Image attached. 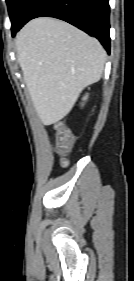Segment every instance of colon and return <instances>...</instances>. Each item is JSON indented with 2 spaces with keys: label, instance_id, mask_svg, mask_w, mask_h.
<instances>
[{
  "label": "colon",
  "instance_id": "obj_1",
  "mask_svg": "<svg viewBox=\"0 0 134 281\" xmlns=\"http://www.w3.org/2000/svg\"><path fill=\"white\" fill-rule=\"evenodd\" d=\"M55 134H56V151L60 156V161L62 165L67 164L65 155L70 150L74 136L70 128L62 122L55 124Z\"/></svg>",
  "mask_w": 134,
  "mask_h": 281
}]
</instances>
